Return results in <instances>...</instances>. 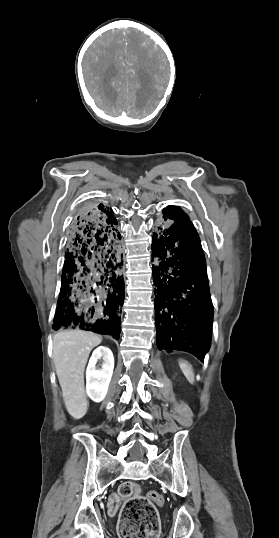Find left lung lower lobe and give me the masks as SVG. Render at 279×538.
<instances>
[{
  "instance_id": "obj_1",
  "label": "left lung lower lobe",
  "mask_w": 279,
  "mask_h": 538,
  "mask_svg": "<svg viewBox=\"0 0 279 538\" xmlns=\"http://www.w3.org/2000/svg\"><path fill=\"white\" fill-rule=\"evenodd\" d=\"M158 230L152 236L158 349L186 351L203 362L213 306L200 239L188 219H175Z\"/></svg>"
}]
</instances>
